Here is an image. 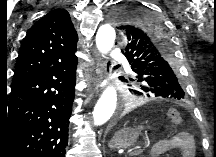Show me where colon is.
Listing matches in <instances>:
<instances>
[{
  "mask_svg": "<svg viewBox=\"0 0 216 157\" xmlns=\"http://www.w3.org/2000/svg\"><path fill=\"white\" fill-rule=\"evenodd\" d=\"M168 119L173 125H180L183 122L181 113L175 108L168 111Z\"/></svg>",
  "mask_w": 216,
  "mask_h": 157,
  "instance_id": "5ec220e1",
  "label": "colon"
}]
</instances>
